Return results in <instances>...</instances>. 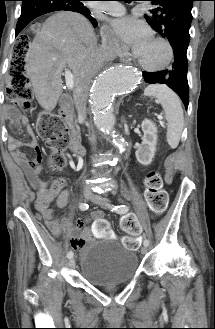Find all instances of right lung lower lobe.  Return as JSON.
Here are the masks:
<instances>
[{"label": "right lung lower lobe", "instance_id": "1", "mask_svg": "<svg viewBox=\"0 0 215 329\" xmlns=\"http://www.w3.org/2000/svg\"><path fill=\"white\" fill-rule=\"evenodd\" d=\"M21 16L16 26V36L33 19L53 11L65 10L80 13L87 17L94 26L97 25L90 11L72 0H22ZM81 3V1H80Z\"/></svg>", "mask_w": 215, "mask_h": 329}]
</instances>
